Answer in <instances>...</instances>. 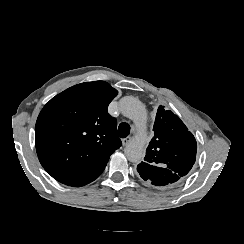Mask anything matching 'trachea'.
<instances>
[{
    "instance_id": "obj_1",
    "label": "trachea",
    "mask_w": 244,
    "mask_h": 244,
    "mask_svg": "<svg viewBox=\"0 0 244 244\" xmlns=\"http://www.w3.org/2000/svg\"><path fill=\"white\" fill-rule=\"evenodd\" d=\"M129 133H130V126L128 123L123 122L118 126V135L121 138L127 137Z\"/></svg>"
}]
</instances>
